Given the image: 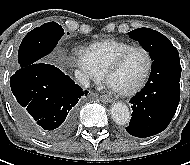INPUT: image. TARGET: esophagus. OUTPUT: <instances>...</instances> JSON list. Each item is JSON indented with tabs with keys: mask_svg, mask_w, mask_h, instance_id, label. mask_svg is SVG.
<instances>
[{
	"mask_svg": "<svg viewBox=\"0 0 190 165\" xmlns=\"http://www.w3.org/2000/svg\"><path fill=\"white\" fill-rule=\"evenodd\" d=\"M100 100H101L102 102H104V103H110V102L113 101V99H111V98L108 97V96H104V95L100 96Z\"/></svg>",
	"mask_w": 190,
	"mask_h": 165,
	"instance_id": "esophagus-1",
	"label": "esophagus"
}]
</instances>
